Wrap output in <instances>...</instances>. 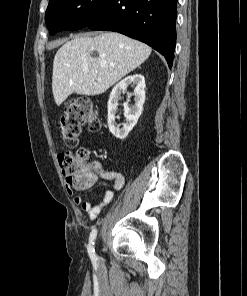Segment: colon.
<instances>
[{
    "label": "colon",
    "instance_id": "obj_1",
    "mask_svg": "<svg viewBox=\"0 0 247 296\" xmlns=\"http://www.w3.org/2000/svg\"><path fill=\"white\" fill-rule=\"evenodd\" d=\"M84 126L91 131H99L102 124L99 112L92 101L89 98L80 97L67 103L61 117L60 131L68 147L73 148L77 145ZM58 159L67 184L84 189L98 180L99 172L90 162L88 149L62 152Z\"/></svg>",
    "mask_w": 247,
    "mask_h": 296
}]
</instances>
